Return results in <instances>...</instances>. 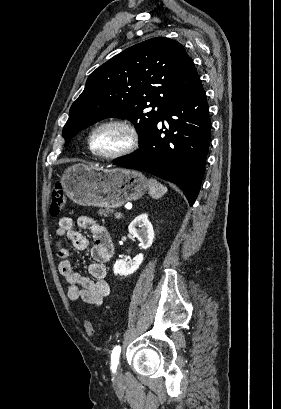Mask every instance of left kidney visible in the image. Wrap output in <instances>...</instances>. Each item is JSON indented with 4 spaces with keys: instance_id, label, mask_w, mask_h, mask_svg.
<instances>
[{
    "instance_id": "obj_1",
    "label": "left kidney",
    "mask_w": 281,
    "mask_h": 409,
    "mask_svg": "<svg viewBox=\"0 0 281 409\" xmlns=\"http://www.w3.org/2000/svg\"><path fill=\"white\" fill-rule=\"evenodd\" d=\"M137 227H139V229H137ZM128 231L130 235L138 239L141 249H149V247H151L154 239V229L148 219L147 213H142V215L133 219L128 227ZM143 259V253H139L132 261H116L113 267L114 275H120V277H122V275H124V277L132 275V273H135V271L139 269L141 263H143Z\"/></svg>"
}]
</instances>
